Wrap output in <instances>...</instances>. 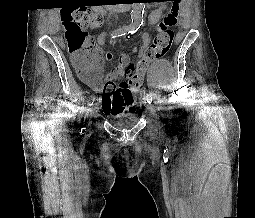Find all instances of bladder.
I'll list each match as a JSON object with an SVG mask.
<instances>
[{
	"label": "bladder",
	"instance_id": "obj_1",
	"mask_svg": "<svg viewBox=\"0 0 255 218\" xmlns=\"http://www.w3.org/2000/svg\"><path fill=\"white\" fill-rule=\"evenodd\" d=\"M137 114L133 112L114 113L109 116V121L120 129H128L135 125Z\"/></svg>",
	"mask_w": 255,
	"mask_h": 218
}]
</instances>
